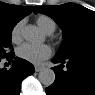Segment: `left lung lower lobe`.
I'll return each instance as SVG.
<instances>
[{
	"label": "left lung lower lobe",
	"instance_id": "left-lung-lower-lobe-1",
	"mask_svg": "<svg viewBox=\"0 0 95 95\" xmlns=\"http://www.w3.org/2000/svg\"><path fill=\"white\" fill-rule=\"evenodd\" d=\"M55 82L46 88L47 95H95V54H82L72 58L56 56ZM66 64L67 69H62Z\"/></svg>",
	"mask_w": 95,
	"mask_h": 95
}]
</instances>
